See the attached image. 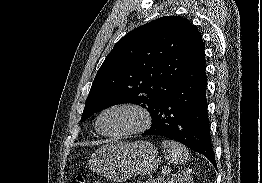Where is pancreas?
<instances>
[{
	"instance_id": "cf45deb5",
	"label": "pancreas",
	"mask_w": 262,
	"mask_h": 183,
	"mask_svg": "<svg viewBox=\"0 0 262 183\" xmlns=\"http://www.w3.org/2000/svg\"><path fill=\"white\" fill-rule=\"evenodd\" d=\"M162 178H164V176ZM141 183H160V181L154 180V179H150V180L142 181Z\"/></svg>"
}]
</instances>
